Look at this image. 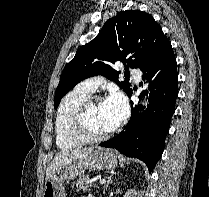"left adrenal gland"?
I'll return each mask as SVG.
<instances>
[{
    "instance_id": "1",
    "label": "left adrenal gland",
    "mask_w": 209,
    "mask_h": 197,
    "mask_svg": "<svg viewBox=\"0 0 209 197\" xmlns=\"http://www.w3.org/2000/svg\"><path fill=\"white\" fill-rule=\"evenodd\" d=\"M114 174H111L109 177H108V180H107V183L106 185L103 187V192H105V190L110 186V184L113 183V178Z\"/></svg>"
}]
</instances>
